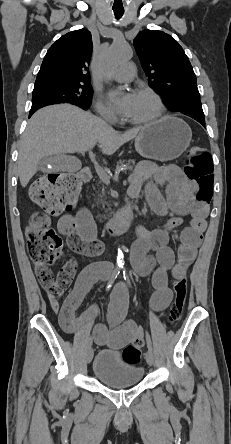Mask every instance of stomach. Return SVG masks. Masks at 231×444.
Returning <instances> with one entry per match:
<instances>
[{
	"label": "stomach",
	"mask_w": 231,
	"mask_h": 444,
	"mask_svg": "<svg viewBox=\"0 0 231 444\" xmlns=\"http://www.w3.org/2000/svg\"><path fill=\"white\" fill-rule=\"evenodd\" d=\"M192 138L190 127L180 118L166 116L149 124L135 138V150L144 158L169 161L179 157Z\"/></svg>",
	"instance_id": "stomach-1"
}]
</instances>
